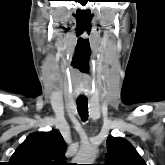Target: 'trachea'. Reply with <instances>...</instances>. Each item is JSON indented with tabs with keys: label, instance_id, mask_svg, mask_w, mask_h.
<instances>
[{
	"label": "trachea",
	"instance_id": "obj_1",
	"mask_svg": "<svg viewBox=\"0 0 165 165\" xmlns=\"http://www.w3.org/2000/svg\"><path fill=\"white\" fill-rule=\"evenodd\" d=\"M77 110L79 116L83 121H86L88 118V101L86 98L77 99Z\"/></svg>",
	"mask_w": 165,
	"mask_h": 165
}]
</instances>
